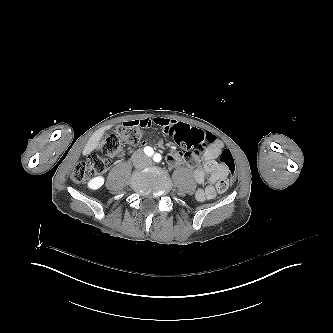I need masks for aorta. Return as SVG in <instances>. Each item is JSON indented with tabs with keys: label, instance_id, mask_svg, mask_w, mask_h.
Segmentation results:
<instances>
[{
	"label": "aorta",
	"instance_id": "aorta-1",
	"mask_svg": "<svg viewBox=\"0 0 333 333\" xmlns=\"http://www.w3.org/2000/svg\"><path fill=\"white\" fill-rule=\"evenodd\" d=\"M154 161L155 162L161 161V155L160 154H156L155 157H154Z\"/></svg>",
	"mask_w": 333,
	"mask_h": 333
}]
</instances>
